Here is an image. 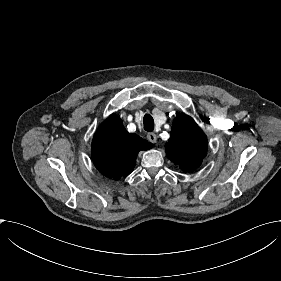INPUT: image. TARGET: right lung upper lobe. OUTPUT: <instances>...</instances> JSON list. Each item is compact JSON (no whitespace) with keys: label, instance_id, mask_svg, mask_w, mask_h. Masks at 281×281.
Masks as SVG:
<instances>
[{"label":"right lung upper lobe","instance_id":"1","mask_svg":"<svg viewBox=\"0 0 281 281\" xmlns=\"http://www.w3.org/2000/svg\"><path fill=\"white\" fill-rule=\"evenodd\" d=\"M152 144L136 134L128 133L122 120L112 114L96 131L92 146V160L98 171L114 180L129 175L135 165L139 151Z\"/></svg>","mask_w":281,"mask_h":281}]
</instances>
